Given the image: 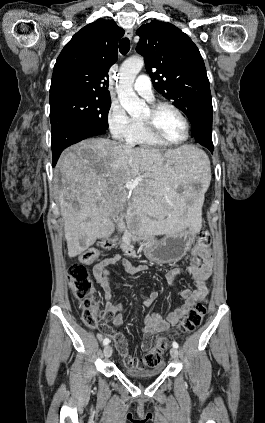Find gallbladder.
<instances>
[{"instance_id": "bac80fb5", "label": "gallbladder", "mask_w": 265, "mask_h": 423, "mask_svg": "<svg viewBox=\"0 0 265 423\" xmlns=\"http://www.w3.org/2000/svg\"><path fill=\"white\" fill-rule=\"evenodd\" d=\"M117 218H118V216H117V215H114V216H113V220H114V222H115V223H117Z\"/></svg>"}]
</instances>
